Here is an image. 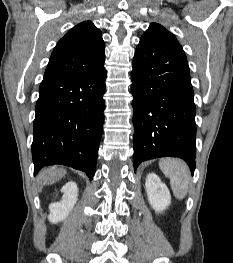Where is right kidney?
Wrapping results in <instances>:
<instances>
[{
  "label": "right kidney",
  "instance_id": "obj_1",
  "mask_svg": "<svg viewBox=\"0 0 233 263\" xmlns=\"http://www.w3.org/2000/svg\"><path fill=\"white\" fill-rule=\"evenodd\" d=\"M61 192L63 193L61 201L49 205V221L52 223L64 220L77 202L78 187L75 182L66 183L62 187Z\"/></svg>",
  "mask_w": 233,
  "mask_h": 263
}]
</instances>
